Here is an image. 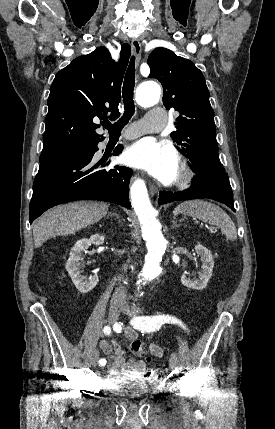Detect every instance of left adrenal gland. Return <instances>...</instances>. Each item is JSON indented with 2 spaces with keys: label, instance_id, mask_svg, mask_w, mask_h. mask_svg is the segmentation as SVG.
Listing matches in <instances>:
<instances>
[{
  "label": "left adrenal gland",
  "instance_id": "1",
  "mask_svg": "<svg viewBox=\"0 0 275 429\" xmlns=\"http://www.w3.org/2000/svg\"><path fill=\"white\" fill-rule=\"evenodd\" d=\"M172 224H173L172 225L173 228L180 226L179 224H177V222L175 220H172Z\"/></svg>",
  "mask_w": 275,
  "mask_h": 429
}]
</instances>
